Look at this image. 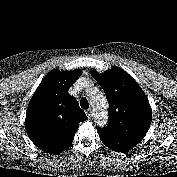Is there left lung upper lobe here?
Here are the masks:
<instances>
[{
	"mask_svg": "<svg viewBox=\"0 0 177 177\" xmlns=\"http://www.w3.org/2000/svg\"><path fill=\"white\" fill-rule=\"evenodd\" d=\"M92 76L103 88L109 104V122L98 130L103 143L114 142L135 147L146 135L152 120V109L139 84L124 70L113 67ZM124 152V151H123Z\"/></svg>",
	"mask_w": 177,
	"mask_h": 177,
	"instance_id": "1",
	"label": "left lung upper lobe"
}]
</instances>
